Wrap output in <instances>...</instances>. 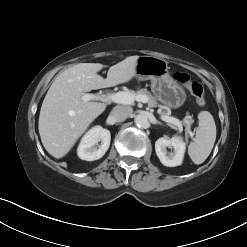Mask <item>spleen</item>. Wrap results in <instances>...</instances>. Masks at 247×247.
I'll return each instance as SVG.
<instances>
[{
    "instance_id": "spleen-1",
    "label": "spleen",
    "mask_w": 247,
    "mask_h": 247,
    "mask_svg": "<svg viewBox=\"0 0 247 247\" xmlns=\"http://www.w3.org/2000/svg\"><path fill=\"white\" fill-rule=\"evenodd\" d=\"M198 119L195 139L188 146V154L197 165L207 159L216 140V125L213 116L208 111H201Z\"/></svg>"
}]
</instances>
